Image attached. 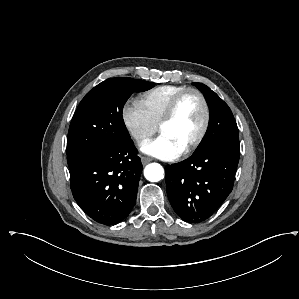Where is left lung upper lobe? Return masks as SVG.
Returning a JSON list of instances; mask_svg holds the SVG:
<instances>
[{"instance_id": "left-lung-upper-lobe-1", "label": "left lung upper lobe", "mask_w": 299, "mask_h": 299, "mask_svg": "<svg viewBox=\"0 0 299 299\" xmlns=\"http://www.w3.org/2000/svg\"><path fill=\"white\" fill-rule=\"evenodd\" d=\"M203 94L210 109L208 129L194 153L212 147H228L239 151L238 127L228 105L208 86L193 83Z\"/></svg>"}]
</instances>
